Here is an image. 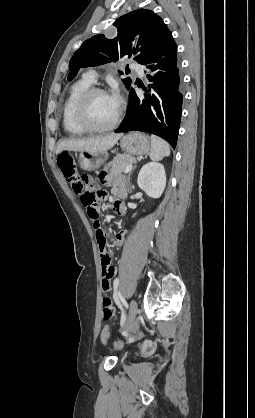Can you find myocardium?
Masks as SVG:
<instances>
[{"label": "myocardium", "instance_id": "obj_1", "mask_svg": "<svg viewBox=\"0 0 255 418\" xmlns=\"http://www.w3.org/2000/svg\"><path fill=\"white\" fill-rule=\"evenodd\" d=\"M96 94H107V91L100 87H90L79 98L75 109L76 123L86 132L104 133L113 130L121 119V110L118 109L113 121L106 126H96L91 123L89 118V103Z\"/></svg>", "mask_w": 255, "mask_h": 418}]
</instances>
